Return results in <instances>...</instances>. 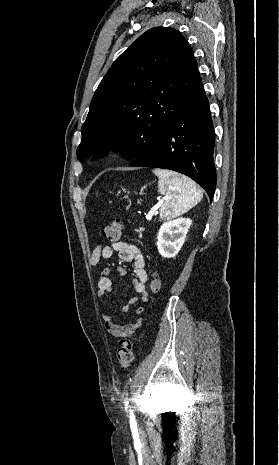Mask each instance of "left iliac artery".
<instances>
[{
	"mask_svg": "<svg viewBox=\"0 0 279 465\" xmlns=\"http://www.w3.org/2000/svg\"><path fill=\"white\" fill-rule=\"evenodd\" d=\"M127 404H128V402H127ZM134 420H135V416L133 414V411L131 410L130 411V421H134Z\"/></svg>",
	"mask_w": 279,
	"mask_h": 465,
	"instance_id": "left-iliac-artery-1",
	"label": "left iliac artery"
}]
</instances>
